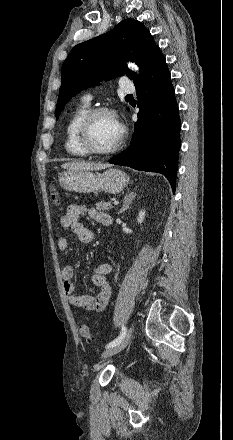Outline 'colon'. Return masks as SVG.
Listing matches in <instances>:
<instances>
[{
    "label": "colon",
    "instance_id": "obj_1",
    "mask_svg": "<svg viewBox=\"0 0 233 440\" xmlns=\"http://www.w3.org/2000/svg\"><path fill=\"white\" fill-rule=\"evenodd\" d=\"M49 196H50V200L54 205H59L60 203V198L58 195V192L56 190V188L54 186H50L49 188ZM80 330V334L81 336L86 339L88 342H93L94 341V337L92 336L91 332H90V328L87 324H81L79 327Z\"/></svg>",
    "mask_w": 233,
    "mask_h": 440
}]
</instances>
